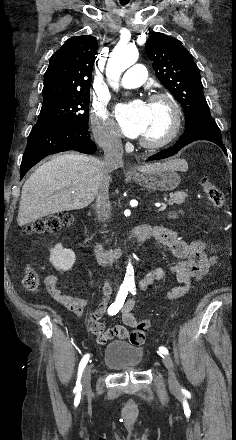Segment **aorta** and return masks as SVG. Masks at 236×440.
I'll list each match as a JSON object with an SVG mask.
<instances>
[{"label": "aorta", "instance_id": "1", "mask_svg": "<svg viewBox=\"0 0 236 440\" xmlns=\"http://www.w3.org/2000/svg\"><path fill=\"white\" fill-rule=\"evenodd\" d=\"M138 50L131 46H117L111 53L106 66L107 79L110 86L118 90L121 74L138 60ZM134 275V268L131 261L126 267L125 280L130 281Z\"/></svg>", "mask_w": 236, "mask_h": 440}]
</instances>
